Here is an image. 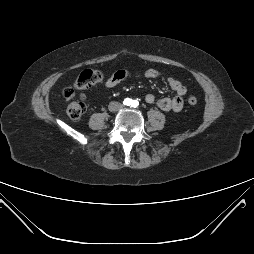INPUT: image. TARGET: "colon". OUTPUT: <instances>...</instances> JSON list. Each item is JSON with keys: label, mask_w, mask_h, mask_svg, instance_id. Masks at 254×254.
<instances>
[{"label": "colon", "mask_w": 254, "mask_h": 254, "mask_svg": "<svg viewBox=\"0 0 254 254\" xmlns=\"http://www.w3.org/2000/svg\"><path fill=\"white\" fill-rule=\"evenodd\" d=\"M104 79V74L98 70L86 69L82 71L73 86L66 88L63 91L64 98L68 101L66 113L72 120L80 119L86 111V105L82 96L77 97L76 91L87 89ZM188 104L194 106L198 103L195 96L188 98Z\"/></svg>", "instance_id": "obj_1"}]
</instances>
